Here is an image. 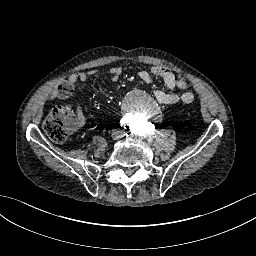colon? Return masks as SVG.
I'll list each match as a JSON object with an SVG mask.
<instances>
[{
    "instance_id": "5ec220e1",
    "label": "colon",
    "mask_w": 256,
    "mask_h": 256,
    "mask_svg": "<svg viewBox=\"0 0 256 256\" xmlns=\"http://www.w3.org/2000/svg\"><path fill=\"white\" fill-rule=\"evenodd\" d=\"M76 82L68 80L61 83L57 88V94L65 99L74 92ZM177 85L184 90L188 81L184 75L178 77ZM75 120L72 118L69 106L63 105L53 109L49 117L43 123V129L47 136L55 142H64L75 129Z\"/></svg>"
}]
</instances>
